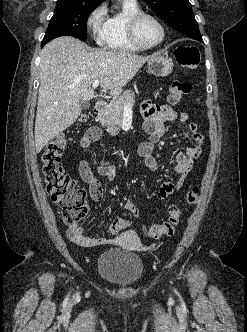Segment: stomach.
Returning <instances> with one entry per match:
<instances>
[{"mask_svg": "<svg viewBox=\"0 0 247 332\" xmlns=\"http://www.w3.org/2000/svg\"><path fill=\"white\" fill-rule=\"evenodd\" d=\"M148 72L158 76H168L173 69L172 60L169 57L155 55L148 61Z\"/></svg>", "mask_w": 247, "mask_h": 332, "instance_id": "obj_1", "label": "stomach"}]
</instances>
